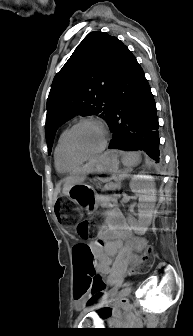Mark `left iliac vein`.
<instances>
[{
    "instance_id": "4c4485c4",
    "label": "left iliac vein",
    "mask_w": 193,
    "mask_h": 336,
    "mask_svg": "<svg viewBox=\"0 0 193 336\" xmlns=\"http://www.w3.org/2000/svg\"><path fill=\"white\" fill-rule=\"evenodd\" d=\"M131 291H132V286H131V285H127V286H125V287H124L121 291H119L117 294H116V292H117V288H114V289L109 293L110 298H109L107 304L113 302V301H114L115 299H117V298H123V297H125V296H128V295L131 293ZM115 294H116V297L113 298V296H114ZM82 314H83V313H82Z\"/></svg>"
}]
</instances>
